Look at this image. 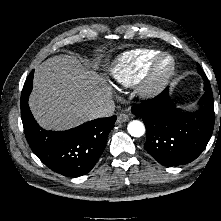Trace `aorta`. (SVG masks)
Listing matches in <instances>:
<instances>
[{
  "label": "aorta",
  "instance_id": "762f6f07",
  "mask_svg": "<svg viewBox=\"0 0 221 221\" xmlns=\"http://www.w3.org/2000/svg\"><path fill=\"white\" fill-rule=\"evenodd\" d=\"M128 133L133 137H141L145 133V126L141 121L133 120L127 126Z\"/></svg>",
  "mask_w": 221,
  "mask_h": 221
}]
</instances>
